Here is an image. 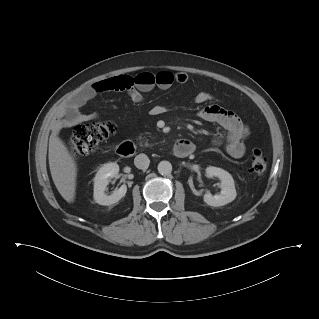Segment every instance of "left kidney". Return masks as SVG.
<instances>
[{
    "mask_svg": "<svg viewBox=\"0 0 319 319\" xmlns=\"http://www.w3.org/2000/svg\"><path fill=\"white\" fill-rule=\"evenodd\" d=\"M206 176L208 177H218L221 180V192L219 195H212L211 193H206L204 195V201L214 207L223 206L232 202L236 198V189L234 185L233 177L230 173L224 169L209 166L205 170Z\"/></svg>",
    "mask_w": 319,
    "mask_h": 319,
    "instance_id": "5707ae66",
    "label": "left kidney"
}]
</instances>
